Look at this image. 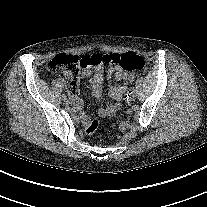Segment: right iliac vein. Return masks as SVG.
Here are the masks:
<instances>
[{
  "instance_id": "63e3f726",
  "label": "right iliac vein",
  "mask_w": 207,
  "mask_h": 207,
  "mask_svg": "<svg viewBox=\"0 0 207 207\" xmlns=\"http://www.w3.org/2000/svg\"><path fill=\"white\" fill-rule=\"evenodd\" d=\"M65 103L68 105V104L71 103V101H70L69 99H66V100H65Z\"/></svg>"
}]
</instances>
